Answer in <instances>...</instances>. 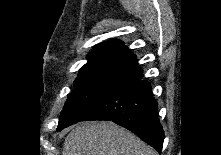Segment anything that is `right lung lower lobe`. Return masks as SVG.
Returning <instances> with one entry per match:
<instances>
[{
    "instance_id": "right-lung-lower-lobe-1",
    "label": "right lung lower lobe",
    "mask_w": 221,
    "mask_h": 155,
    "mask_svg": "<svg viewBox=\"0 0 221 155\" xmlns=\"http://www.w3.org/2000/svg\"><path fill=\"white\" fill-rule=\"evenodd\" d=\"M157 108L150 83L142 79V69L131 53L114 67L81 121H113L135 133L160 153L164 132L156 115Z\"/></svg>"
}]
</instances>
